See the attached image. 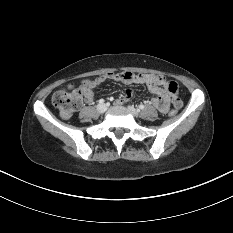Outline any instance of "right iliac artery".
<instances>
[{
	"instance_id": "1",
	"label": "right iliac artery",
	"mask_w": 233,
	"mask_h": 233,
	"mask_svg": "<svg viewBox=\"0 0 233 233\" xmlns=\"http://www.w3.org/2000/svg\"><path fill=\"white\" fill-rule=\"evenodd\" d=\"M98 102H99V104H103L104 103V99H100Z\"/></svg>"
}]
</instances>
